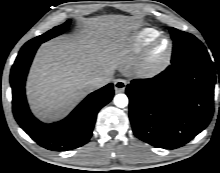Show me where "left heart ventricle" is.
Here are the masks:
<instances>
[{
  "label": "left heart ventricle",
  "mask_w": 220,
  "mask_h": 173,
  "mask_svg": "<svg viewBox=\"0 0 220 173\" xmlns=\"http://www.w3.org/2000/svg\"><path fill=\"white\" fill-rule=\"evenodd\" d=\"M165 47H166V44L163 42V43H161L158 47H157V49L155 50V53H154V58L155 59H159L162 55H163V53H164V51H165Z\"/></svg>",
  "instance_id": "1"
}]
</instances>
